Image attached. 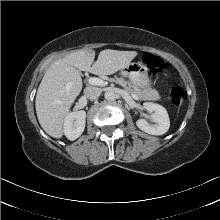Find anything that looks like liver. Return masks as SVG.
Listing matches in <instances>:
<instances>
[{
	"instance_id": "6515ba94",
	"label": "liver",
	"mask_w": 220,
	"mask_h": 220,
	"mask_svg": "<svg viewBox=\"0 0 220 220\" xmlns=\"http://www.w3.org/2000/svg\"><path fill=\"white\" fill-rule=\"evenodd\" d=\"M137 54L136 51L106 49L94 62V50H77L51 64L35 100L37 118L43 130L54 138L63 136L65 118L82 90L80 71L99 76L111 75L125 68Z\"/></svg>"
}]
</instances>
